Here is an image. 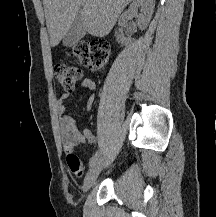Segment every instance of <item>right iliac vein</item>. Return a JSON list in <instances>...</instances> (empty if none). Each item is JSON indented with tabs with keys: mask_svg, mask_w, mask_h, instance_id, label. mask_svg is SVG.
<instances>
[{
	"mask_svg": "<svg viewBox=\"0 0 216 217\" xmlns=\"http://www.w3.org/2000/svg\"><path fill=\"white\" fill-rule=\"evenodd\" d=\"M101 167H102L101 160L95 162V164L92 165V167L90 168V170L88 171L84 179V183H83L84 191H88L91 188V186L94 184L98 174L101 171Z\"/></svg>",
	"mask_w": 216,
	"mask_h": 217,
	"instance_id": "1",
	"label": "right iliac vein"
}]
</instances>
